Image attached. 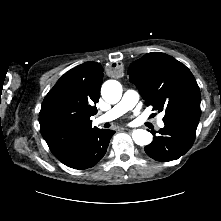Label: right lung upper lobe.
Masks as SVG:
<instances>
[{"instance_id": "1", "label": "right lung upper lobe", "mask_w": 221, "mask_h": 221, "mask_svg": "<svg viewBox=\"0 0 221 221\" xmlns=\"http://www.w3.org/2000/svg\"><path fill=\"white\" fill-rule=\"evenodd\" d=\"M103 68L86 62L66 72L45 96L39 113L42 136L55 157L77 145L97 127L90 117L97 113Z\"/></svg>"}]
</instances>
